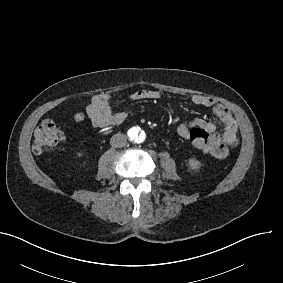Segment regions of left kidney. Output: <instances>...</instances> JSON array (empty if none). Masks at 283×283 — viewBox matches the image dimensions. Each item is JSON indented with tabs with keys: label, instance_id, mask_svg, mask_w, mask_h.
Listing matches in <instances>:
<instances>
[{
	"label": "left kidney",
	"instance_id": "1",
	"mask_svg": "<svg viewBox=\"0 0 283 283\" xmlns=\"http://www.w3.org/2000/svg\"><path fill=\"white\" fill-rule=\"evenodd\" d=\"M190 165H191V167L194 168V169L198 168V166H199V165H198V162L195 161V160L191 161V162H190Z\"/></svg>",
	"mask_w": 283,
	"mask_h": 283
}]
</instances>
